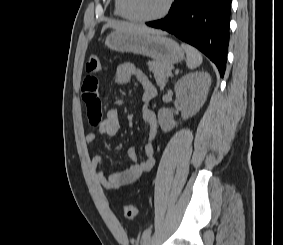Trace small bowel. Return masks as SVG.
<instances>
[{"label":"small bowel","instance_id":"c3829d8e","mask_svg":"<svg viewBox=\"0 0 283 245\" xmlns=\"http://www.w3.org/2000/svg\"><path fill=\"white\" fill-rule=\"evenodd\" d=\"M132 78L141 85L143 92L141 100V118L147 128V142L143 147L144 158L139 159L135 147L127 150L128 157L133 164L125 169L115 171L109 175L103 172V159L94 155L91 160V173L94 179L103 187L116 190L134 183L143 173L152 169L155 163L154 139L157 134L158 124L155 114L149 109V102L156 95V88L148 76L131 63H122L116 68L115 81L118 85L128 83ZM82 99L86 106L87 116L92 126L97 127L98 133L110 137L116 136L120 131L119 114L116 108H110L106 115H102L101 100L99 97V80L94 75H88L81 87ZM97 133L90 132L86 135L88 143L97 140Z\"/></svg>","mask_w":283,"mask_h":245}]
</instances>
